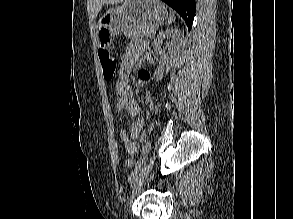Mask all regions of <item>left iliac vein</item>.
<instances>
[{
	"instance_id": "4c4485c4",
	"label": "left iliac vein",
	"mask_w": 293,
	"mask_h": 219,
	"mask_svg": "<svg viewBox=\"0 0 293 219\" xmlns=\"http://www.w3.org/2000/svg\"><path fill=\"white\" fill-rule=\"evenodd\" d=\"M152 163H153V161H151L150 164L148 165V167L145 168L144 170H142L140 172V174L138 175L136 183L133 188L132 198L138 193L142 183L144 182L145 177L147 176L149 169L151 168Z\"/></svg>"
}]
</instances>
